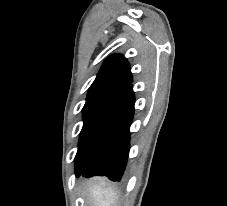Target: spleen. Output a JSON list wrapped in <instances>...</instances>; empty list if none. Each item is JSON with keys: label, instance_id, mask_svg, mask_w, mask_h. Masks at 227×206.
<instances>
[{"label": "spleen", "instance_id": "3e777b00", "mask_svg": "<svg viewBox=\"0 0 227 206\" xmlns=\"http://www.w3.org/2000/svg\"><path fill=\"white\" fill-rule=\"evenodd\" d=\"M88 190L95 202V206H115L118 195L112 187L91 185Z\"/></svg>", "mask_w": 227, "mask_h": 206}]
</instances>
